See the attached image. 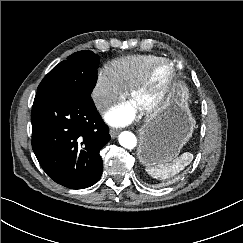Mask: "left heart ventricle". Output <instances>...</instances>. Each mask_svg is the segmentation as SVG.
<instances>
[{
	"label": "left heart ventricle",
	"instance_id": "obj_1",
	"mask_svg": "<svg viewBox=\"0 0 243 243\" xmlns=\"http://www.w3.org/2000/svg\"><path fill=\"white\" fill-rule=\"evenodd\" d=\"M169 74L170 68L167 65L159 66L155 70L150 83L133 97L131 103L137 109H140L141 107L153 102L163 90Z\"/></svg>",
	"mask_w": 243,
	"mask_h": 243
}]
</instances>
